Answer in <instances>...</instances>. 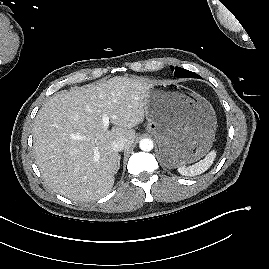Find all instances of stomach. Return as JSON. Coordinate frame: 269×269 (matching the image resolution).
<instances>
[{
    "label": "stomach",
    "instance_id": "obj_1",
    "mask_svg": "<svg viewBox=\"0 0 269 269\" xmlns=\"http://www.w3.org/2000/svg\"><path fill=\"white\" fill-rule=\"evenodd\" d=\"M147 131L167 168L195 162L211 148L217 118L210 102L175 83H153L145 104Z\"/></svg>",
    "mask_w": 269,
    "mask_h": 269
}]
</instances>
